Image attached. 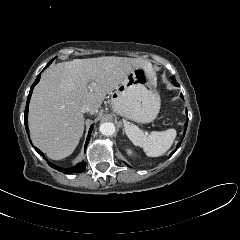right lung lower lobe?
<instances>
[{"label":"right lung lower lobe","instance_id":"right-lung-lower-lobe-1","mask_svg":"<svg viewBox=\"0 0 240 240\" xmlns=\"http://www.w3.org/2000/svg\"><path fill=\"white\" fill-rule=\"evenodd\" d=\"M53 60H51L46 67H48L51 62ZM45 67V68H46ZM40 80V75H38L37 79L35 80V82L33 83L31 89H30V93L28 95V99H27V104H26V108H25V117H24V123H25V128H26V131L27 133L29 132V129H28V108H29V101H30V98H31V94H32V91H33V88L34 86L39 82ZM93 129V126H91L90 130H89V134H88V137H87V140H86V144H85V150H86V147H87V144H88V141H89V138H90V135H91V131ZM34 147V146H33ZM34 149L43 156V153L37 149L36 147H34ZM52 168H56L57 170L65 173V174H70V173H79V172H84L85 171V166H86V163L82 162V163H79L76 167L74 168H61V167H58L56 165H54L53 163L49 162L48 163Z\"/></svg>","mask_w":240,"mask_h":240}]
</instances>
